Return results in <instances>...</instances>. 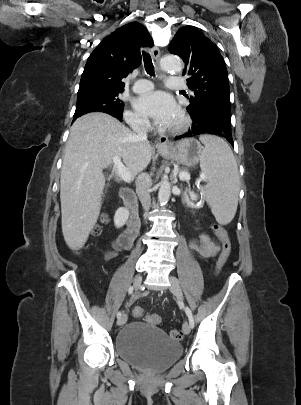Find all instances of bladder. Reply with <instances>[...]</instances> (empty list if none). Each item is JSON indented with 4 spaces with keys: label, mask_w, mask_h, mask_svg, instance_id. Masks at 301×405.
Wrapping results in <instances>:
<instances>
[{
    "label": "bladder",
    "mask_w": 301,
    "mask_h": 405,
    "mask_svg": "<svg viewBox=\"0 0 301 405\" xmlns=\"http://www.w3.org/2000/svg\"><path fill=\"white\" fill-rule=\"evenodd\" d=\"M118 356L131 365L150 372L169 368L181 355L182 346L158 327L131 322L115 338Z\"/></svg>",
    "instance_id": "1"
}]
</instances>
